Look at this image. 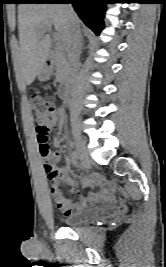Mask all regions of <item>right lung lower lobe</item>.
I'll use <instances>...</instances> for the list:
<instances>
[{
	"mask_svg": "<svg viewBox=\"0 0 166 267\" xmlns=\"http://www.w3.org/2000/svg\"><path fill=\"white\" fill-rule=\"evenodd\" d=\"M20 3H72L83 22L99 35L104 28L103 17L108 0H31Z\"/></svg>",
	"mask_w": 166,
	"mask_h": 267,
	"instance_id": "98d812e1",
	"label": "right lung lower lobe"
}]
</instances>
